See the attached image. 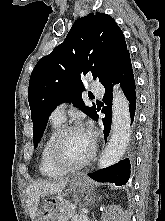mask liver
Here are the masks:
<instances>
[{
	"instance_id": "liver-1",
	"label": "liver",
	"mask_w": 165,
	"mask_h": 221,
	"mask_svg": "<svg viewBox=\"0 0 165 221\" xmlns=\"http://www.w3.org/2000/svg\"><path fill=\"white\" fill-rule=\"evenodd\" d=\"M68 179L58 181H38L28 186L26 190V203L31 219L37 215L39 199L42 196L61 192L67 185Z\"/></svg>"
}]
</instances>
